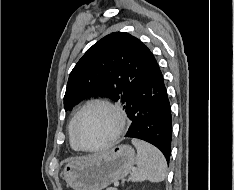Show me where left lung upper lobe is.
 <instances>
[{"instance_id": "obj_1", "label": "left lung upper lobe", "mask_w": 234, "mask_h": 190, "mask_svg": "<svg viewBox=\"0 0 234 190\" xmlns=\"http://www.w3.org/2000/svg\"><path fill=\"white\" fill-rule=\"evenodd\" d=\"M144 44L126 32L111 33L90 47L71 71L65 110L88 97L104 96L125 109L144 78Z\"/></svg>"}]
</instances>
